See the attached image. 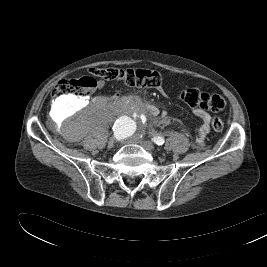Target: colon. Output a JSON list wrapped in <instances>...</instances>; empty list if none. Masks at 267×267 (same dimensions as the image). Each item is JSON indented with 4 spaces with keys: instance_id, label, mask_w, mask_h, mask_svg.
I'll return each instance as SVG.
<instances>
[{
    "instance_id": "1",
    "label": "colon",
    "mask_w": 267,
    "mask_h": 267,
    "mask_svg": "<svg viewBox=\"0 0 267 267\" xmlns=\"http://www.w3.org/2000/svg\"><path fill=\"white\" fill-rule=\"evenodd\" d=\"M96 78L105 81H120L129 87L137 88H157L163 82L161 73L151 69L92 68L90 75L60 80L53 88L51 95L54 98L63 96L86 98L97 87ZM181 98L191 108L220 112L226 107V101L222 96L195 88L184 90ZM211 125L216 132H222L224 129L223 121L218 117L212 119Z\"/></svg>"
}]
</instances>
